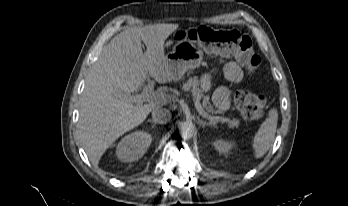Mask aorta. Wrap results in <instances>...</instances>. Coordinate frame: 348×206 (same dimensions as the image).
Here are the masks:
<instances>
[{"mask_svg":"<svg viewBox=\"0 0 348 206\" xmlns=\"http://www.w3.org/2000/svg\"><path fill=\"white\" fill-rule=\"evenodd\" d=\"M179 133L183 139H190L194 135V126L191 122H181L179 125Z\"/></svg>","mask_w":348,"mask_h":206,"instance_id":"obj_1","label":"aorta"}]
</instances>
